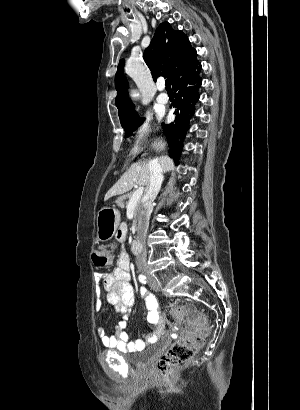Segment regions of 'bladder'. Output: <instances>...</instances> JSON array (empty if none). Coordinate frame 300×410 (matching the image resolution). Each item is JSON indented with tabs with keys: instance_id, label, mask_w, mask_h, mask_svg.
Listing matches in <instances>:
<instances>
[{
	"instance_id": "31cf9c89",
	"label": "bladder",
	"mask_w": 300,
	"mask_h": 410,
	"mask_svg": "<svg viewBox=\"0 0 300 410\" xmlns=\"http://www.w3.org/2000/svg\"><path fill=\"white\" fill-rule=\"evenodd\" d=\"M155 353V348L147 347L137 355L124 356V360L134 367H144L151 361Z\"/></svg>"
}]
</instances>
